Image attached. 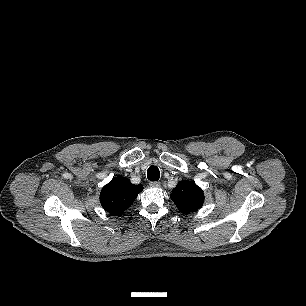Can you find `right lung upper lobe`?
<instances>
[{
    "mask_svg": "<svg viewBox=\"0 0 306 306\" xmlns=\"http://www.w3.org/2000/svg\"><path fill=\"white\" fill-rule=\"evenodd\" d=\"M142 190V185H134L127 178L117 177L103 187L100 202L111 215L120 216Z\"/></svg>",
    "mask_w": 306,
    "mask_h": 306,
    "instance_id": "right-lung-upper-lobe-1",
    "label": "right lung upper lobe"
}]
</instances>
